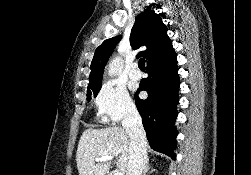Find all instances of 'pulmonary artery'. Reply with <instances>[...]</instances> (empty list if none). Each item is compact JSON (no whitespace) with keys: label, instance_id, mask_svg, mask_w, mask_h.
<instances>
[{"label":"pulmonary artery","instance_id":"obj_1","mask_svg":"<svg viewBox=\"0 0 251 175\" xmlns=\"http://www.w3.org/2000/svg\"><path fill=\"white\" fill-rule=\"evenodd\" d=\"M131 76L133 77V78H136V79H138L140 76H141V72L139 71V70H133L132 72H131Z\"/></svg>","mask_w":251,"mask_h":175}]
</instances>
